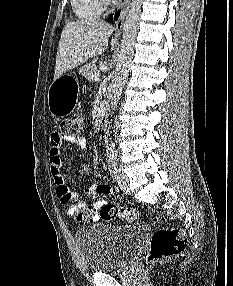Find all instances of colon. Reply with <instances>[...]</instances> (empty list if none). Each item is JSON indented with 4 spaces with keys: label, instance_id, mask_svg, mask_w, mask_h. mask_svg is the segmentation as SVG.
Returning a JSON list of instances; mask_svg holds the SVG:
<instances>
[{
    "label": "colon",
    "instance_id": "colon-1",
    "mask_svg": "<svg viewBox=\"0 0 233 286\" xmlns=\"http://www.w3.org/2000/svg\"><path fill=\"white\" fill-rule=\"evenodd\" d=\"M83 123L80 115L68 117L60 123L57 133L61 137L79 138L83 132ZM96 213L106 221L134 222L138 217L135 210L116 208L110 204L101 206ZM186 241L183 230L176 227L160 228L152 236L148 260L153 262L169 258L179 253L185 247Z\"/></svg>",
    "mask_w": 233,
    "mask_h": 286
}]
</instances>
